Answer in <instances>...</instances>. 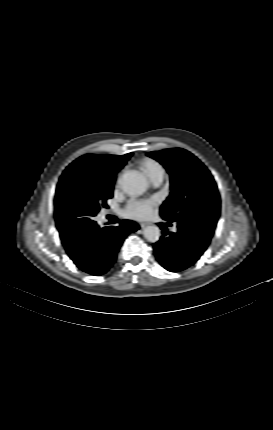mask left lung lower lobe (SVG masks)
I'll return each instance as SVG.
<instances>
[{
    "label": "left lung lower lobe",
    "instance_id": "1",
    "mask_svg": "<svg viewBox=\"0 0 273 430\" xmlns=\"http://www.w3.org/2000/svg\"><path fill=\"white\" fill-rule=\"evenodd\" d=\"M162 218L171 222L164 216ZM159 226L163 230V236L153 244L154 252L159 263L170 272H179L190 267L208 247L209 243L186 225L178 224V231L175 233L168 232L163 223H159Z\"/></svg>",
    "mask_w": 273,
    "mask_h": 430
}]
</instances>
